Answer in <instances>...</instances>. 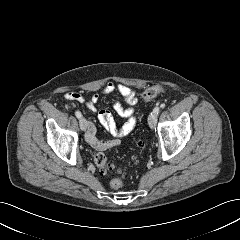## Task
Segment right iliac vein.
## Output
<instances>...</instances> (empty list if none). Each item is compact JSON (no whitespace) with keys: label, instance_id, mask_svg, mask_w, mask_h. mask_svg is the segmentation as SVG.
Returning <instances> with one entry per match:
<instances>
[{"label":"right iliac vein","instance_id":"right-iliac-vein-1","mask_svg":"<svg viewBox=\"0 0 240 240\" xmlns=\"http://www.w3.org/2000/svg\"><path fill=\"white\" fill-rule=\"evenodd\" d=\"M79 125L82 131L87 129V120L85 118H80Z\"/></svg>","mask_w":240,"mask_h":240}]
</instances>
